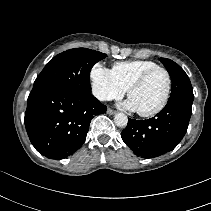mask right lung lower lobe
Listing matches in <instances>:
<instances>
[{
	"label": "right lung lower lobe",
	"mask_w": 211,
	"mask_h": 211,
	"mask_svg": "<svg viewBox=\"0 0 211 211\" xmlns=\"http://www.w3.org/2000/svg\"><path fill=\"white\" fill-rule=\"evenodd\" d=\"M106 110L92 94L34 89L27 100L25 127L32 145L41 155L59 160L82 146L91 119Z\"/></svg>",
	"instance_id": "obj_1"
}]
</instances>
